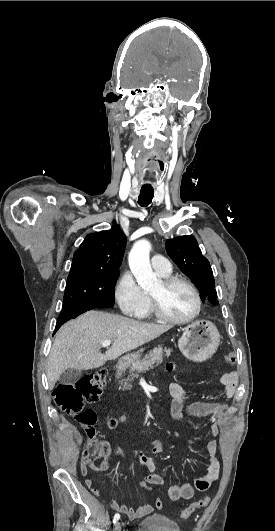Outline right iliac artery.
I'll use <instances>...</instances> for the list:
<instances>
[{"mask_svg":"<svg viewBox=\"0 0 275 531\" xmlns=\"http://www.w3.org/2000/svg\"><path fill=\"white\" fill-rule=\"evenodd\" d=\"M119 518H120V515L116 513L113 518V523H116L119 520Z\"/></svg>","mask_w":275,"mask_h":531,"instance_id":"82829eb1","label":"right iliac artery"}]
</instances>
